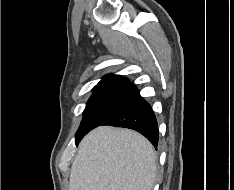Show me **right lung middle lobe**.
Returning <instances> with one entry per match:
<instances>
[{"mask_svg":"<svg viewBox=\"0 0 234 190\" xmlns=\"http://www.w3.org/2000/svg\"><path fill=\"white\" fill-rule=\"evenodd\" d=\"M126 84L127 80H122L93 88V94L86 104L76 138L86 135L100 125L117 103Z\"/></svg>","mask_w":234,"mask_h":190,"instance_id":"obj_1","label":"right lung middle lobe"}]
</instances>
